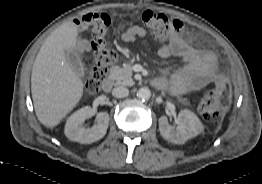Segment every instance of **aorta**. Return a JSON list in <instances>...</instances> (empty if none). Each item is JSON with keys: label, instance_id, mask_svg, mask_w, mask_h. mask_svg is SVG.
Wrapping results in <instances>:
<instances>
[{"label": "aorta", "instance_id": "1", "mask_svg": "<svg viewBox=\"0 0 262 184\" xmlns=\"http://www.w3.org/2000/svg\"><path fill=\"white\" fill-rule=\"evenodd\" d=\"M137 97L141 100H149L151 97V92L148 88L142 87L138 90Z\"/></svg>", "mask_w": 262, "mask_h": 184}]
</instances>
